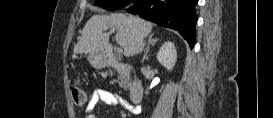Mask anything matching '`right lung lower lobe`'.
I'll list each match as a JSON object with an SVG mask.
<instances>
[{"label":"right lung lower lobe","instance_id":"98d812e1","mask_svg":"<svg viewBox=\"0 0 273 118\" xmlns=\"http://www.w3.org/2000/svg\"><path fill=\"white\" fill-rule=\"evenodd\" d=\"M128 11L134 15L178 31L190 47L195 44L198 0H135ZM132 3V2H131Z\"/></svg>","mask_w":273,"mask_h":118}]
</instances>
